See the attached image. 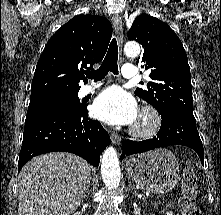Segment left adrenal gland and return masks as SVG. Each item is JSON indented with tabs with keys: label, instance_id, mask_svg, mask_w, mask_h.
Listing matches in <instances>:
<instances>
[{
	"label": "left adrenal gland",
	"instance_id": "a2214340",
	"mask_svg": "<svg viewBox=\"0 0 221 215\" xmlns=\"http://www.w3.org/2000/svg\"><path fill=\"white\" fill-rule=\"evenodd\" d=\"M134 189V186L132 185V182L130 181L129 182V190L131 191V190H133ZM135 194H136V191H135Z\"/></svg>",
	"mask_w": 221,
	"mask_h": 215
}]
</instances>
